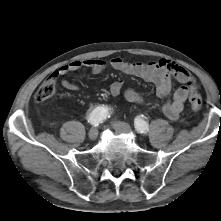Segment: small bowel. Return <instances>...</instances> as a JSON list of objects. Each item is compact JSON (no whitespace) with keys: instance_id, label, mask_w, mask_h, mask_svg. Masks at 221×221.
<instances>
[{"instance_id":"obj_1","label":"small bowel","mask_w":221,"mask_h":221,"mask_svg":"<svg viewBox=\"0 0 221 221\" xmlns=\"http://www.w3.org/2000/svg\"><path fill=\"white\" fill-rule=\"evenodd\" d=\"M108 67L152 83L155 86L157 96L161 98H165L171 94L172 78L180 82L182 86L173 92L172 98L167 100L162 107L165 116L171 120L177 119L182 113L184 104L190 94V88L195 89L197 87L196 80L191 74L180 65L167 59L147 63L128 62L121 57H114L108 62L97 58L76 60L55 70L51 74V77L57 80L81 68H88L93 74H100ZM61 85L69 91H77L79 89L77 84L67 79H63ZM110 93L113 96L123 94L124 98L130 103L141 104L143 102L141 94L135 89L128 88L123 90V82L121 80H117L111 84Z\"/></svg>"}]
</instances>
